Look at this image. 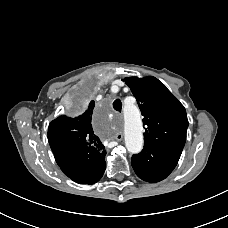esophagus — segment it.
I'll list each match as a JSON object with an SVG mask.
<instances>
[{"label": "esophagus", "mask_w": 228, "mask_h": 228, "mask_svg": "<svg viewBox=\"0 0 228 228\" xmlns=\"http://www.w3.org/2000/svg\"><path fill=\"white\" fill-rule=\"evenodd\" d=\"M115 139H116L117 141H121V140L123 139V133H117V134L115 135Z\"/></svg>", "instance_id": "obj_1"}]
</instances>
